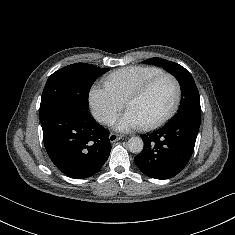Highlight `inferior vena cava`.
<instances>
[{
    "instance_id": "602c4592",
    "label": "inferior vena cava",
    "mask_w": 235,
    "mask_h": 235,
    "mask_svg": "<svg viewBox=\"0 0 235 235\" xmlns=\"http://www.w3.org/2000/svg\"><path fill=\"white\" fill-rule=\"evenodd\" d=\"M109 119V116H103V117H101V120L102 121H107Z\"/></svg>"
}]
</instances>
